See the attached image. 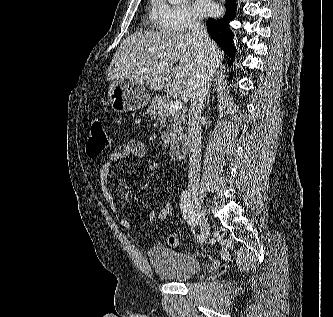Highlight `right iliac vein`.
Returning <instances> with one entry per match:
<instances>
[{
    "label": "right iliac vein",
    "mask_w": 333,
    "mask_h": 317,
    "mask_svg": "<svg viewBox=\"0 0 333 317\" xmlns=\"http://www.w3.org/2000/svg\"><path fill=\"white\" fill-rule=\"evenodd\" d=\"M191 200L194 204V210L199 222L201 235L206 239L210 233V224L206 218V211L200 202L199 193L197 190H191Z\"/></svg>",
    "instance_id": "right-iliac-vein-1"
}]
</instances>
